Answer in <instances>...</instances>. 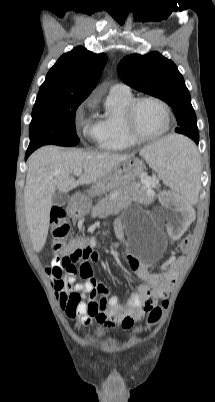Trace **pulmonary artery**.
Listing matches in <instances>:
<instances>
[{
  "label": "pulmonary artery",
  "instance_id": "obj_1",
  "mask_svg": "<svg viewBox=\"0 0 215 402\" xmlns=\"http://www.w3.org/2000/svg\"><path fill=\"white\" fill-rule=\"evenodd\" d=\"M129 90H130L129 87L122 83L114 84L111 87V91H129Z\"/></svg>",
  "mask_w": 215,
  "mask_h": 402
}]
</instances>
